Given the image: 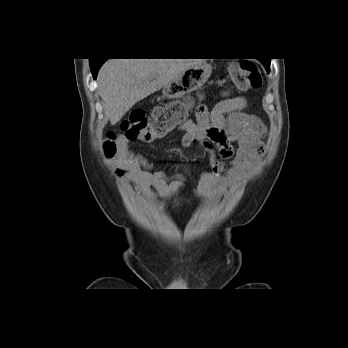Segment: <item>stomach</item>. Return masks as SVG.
Returning a JSON list of instances; mask_svg holds the SVG:
<instances>
[{"label":"stomach","mask_w":348,"mask_h":348,"mask_svg":"<svg viewBox=\"0 0 348 348\" xmlns=\"http://www.w3.org/2000/svg\"><path fill=\"white\" fill-rule=\"evenodd\" d=\"M212 73V66L206 62H199L181 74L163 87V95L168 99L183 98L207 82ZM192 104H190L191 106Z\"/></svg>","instance_id":"stomach-1"}]
</instances>
